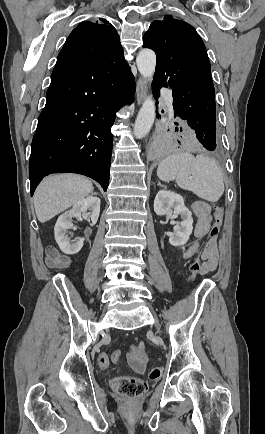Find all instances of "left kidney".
<instances>
[{"label":"left kidney","instance_id":"1","mask_svg":"<svg viewBox=\"0 0 265 434\" xmlns=\"http://www.w3.org/2000/svg\"><path fill=\"white\" fill-rule=\"evenodd\" d=\"M154 212L157 216H165V214H174L175 218L181 216L182 222H177V226H174V234L170 236L169 242L171 246L187 244L193 230V218L192 212L186 208L180 194L160 190L154 200Z\"/></svg>","mask_w":265,"mask_h":434}]
</instances>
